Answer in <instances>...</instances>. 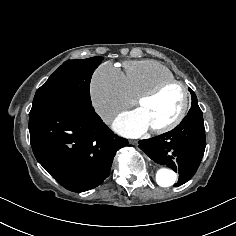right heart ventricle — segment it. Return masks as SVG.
Instances as JSON below:
<instances>
[{
    "label": "right heart ventricle",
    "instance_id": "1",
    "mask_svg": "<svg viewBox=\"0 0 236 236\" xmlns=\"http://www.w3.org/2000/svg\"><path fill=\"white\" fill-rule=\"evenodd\" d=\"M124 78L128 92L138 97L164 80L175 79L172 70L154 60H130L123 63Z\"/></svg>",
    "mask_w": 236,
    "mask_h": 236
}]
</instances>
